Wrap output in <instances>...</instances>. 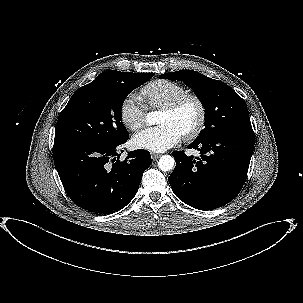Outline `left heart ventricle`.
<instances>
[{"label":"left heart ventricle","mask_w":303,"mask_h":303,"mask_svg":"<svg viewBox=\"0 0 303 303\" xmlns=\"http://www.w3.org/2000/svg\"><path fill=\"white\" fill-rule=\"evenodd\" d=\"M198 118V109L194 102L187 101L181 108L174 112L168 113L161 111L158 117V124L169 123L177 128L183 135L194 127Z\"/></svg>","instance_id":"obj_1"}]
</instances>
